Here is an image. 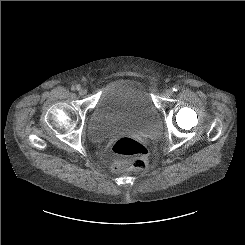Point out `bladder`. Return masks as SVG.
<instances>
[{
  "mask_svg": "<svg viewBox=\"0 0 245 245\" xmlns=\"http://www.w3.org/2000/svg\"><path fill=\"white\" fill-rule=\"evenodd\" d=\"M161 125L158 108L139 77L116 78L100 95L87 120V136L100 142L121 129L151 136Z\"/></svg>",
  "mask_w": 245,
  "mask_h": 245,
  "instance_id": "obj_1",
  "label": "bladder"
}]
</instances>
